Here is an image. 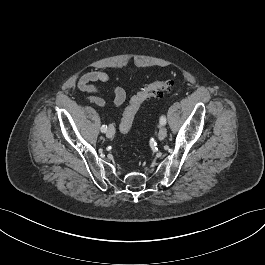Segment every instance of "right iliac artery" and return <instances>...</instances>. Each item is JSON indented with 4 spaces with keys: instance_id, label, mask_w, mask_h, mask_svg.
Returning <instances> with one entry per match:
<instances>
[{
    "instance_id": "82829eb1",
    "label": "right iliac artery",
    "mask_w": 265,
    "mask_h": 265,
    "mask_svg": "<svg viewBox=\"0 0 265 265\" xmlns=\"http://www.w3.org/2000/svg\"><path fill=\"white\" fill-rule=\"evenodd\" d=\"M107 131V126L106 125H102L101 127V132H106Z\"/></svg>"
}]
</instances>
